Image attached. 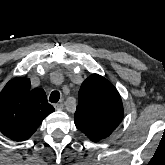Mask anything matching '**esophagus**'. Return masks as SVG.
I'll use <instances>...</instances> for the list:
<instances>
[{
	"instance_id": "obj_1",
	"label": "esophagus",
	"mask_w": 165,
	"mask_h": 165,
	"mask_svg": "<svg viewBox=\"0 0 165 165\" xmlns=\"http://www.w3.org/2000/svg\"><path fill=\"white\" fill-rule=\"evenodd\" d=\"M54 108L58 111H61L64 109V105L62 103H57L54 105Z\"/></svg>"
}]
</instances>
